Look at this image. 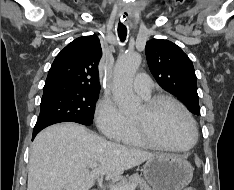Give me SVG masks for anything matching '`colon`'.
<instances>
[{
  "instance_id": "colon-1",
  "label": "colon",
  "mask_w": 234,
  "mask_h": 190,
  "mask_svg": "<svg viewBox=\"0 0 234 190\" xmlns=\"http://www.w3.org/2000/svg\"><path fill=\"white\" fill-rule=\"evenodd\" d=\"M184 190H196V189H195V187H193V186H188V187H186Z\"/></svg>"
}]
</instances>
